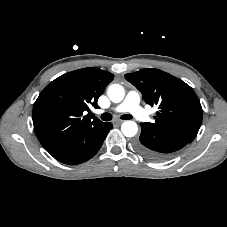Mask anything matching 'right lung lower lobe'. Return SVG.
Listing matches in <instances>:
<instances>
[{"mask_svg":"<svg viewBox=\"0 0 227 227\" xmlns=\"http://www.w3.org/2000/svg\"><path fill=\"white\" fill-rule=\"evenodd\" d=\"M111 129L112 124L110 122H103L96 127L87 128L74 134L48 152L64 164L76 165L83 163L98 152Z\"/></svg>","mask_w":227,"mask_h":227,"instance_id":"1","label":"right lung lower lobe"}]
</instances>
